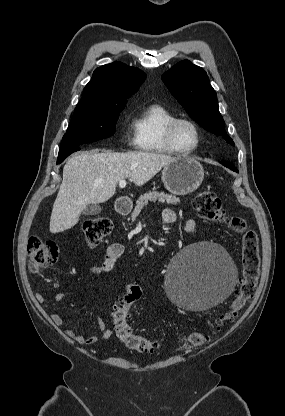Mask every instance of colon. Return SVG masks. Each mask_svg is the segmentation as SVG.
<instances>
[{"instance_id": "obj_1", "label": "colon", "mask_w": 285, "mask_h": 416, "mask_svg": "<svg viewBox=\"0 0 285 416\" xmlns=\"http://www.w3.org/2000/svg\"><path fill=\"white\" fill-rule=\"evenodd\" d=\"M193 206L197 215L213 223L222 224L241 236L242 242V278L235 292L234 300L217 321L221 326L232 320L238 312L250 301L254 294L260 277V248L257 234L247 227L242 218L228 216L222 209L221 200L211 190L199 192ZM112 223L109 219L95 217L84 220L81 230L86 243L91 247L98 246L109 234ZM58 258V247L55 242L44 240L33 235L28 241V270L33 275H40L45 269L53 265ZM142 290L139 285L131 283L115 303L112 311L114 330L117 339L129 349L139 353H152L158 350L159 343L135 332L130 324L132 307L141 299ZM210 336L203 332H192L184 340L185 347L201 346L209 340Z\"/></svg>"}]
</instances>
